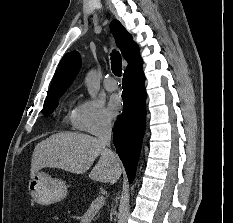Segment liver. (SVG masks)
I'll use <instances>...</instances> for the list:
<instances>
[{"instance_id":"liver-1","label":"liver","mask_w":233,"mask_h":223,"mask_svg":"<svg viewBox=\"0 0 233 223\" xmlns=\"http://www.w3.org/2000/svg\"><path fill=\"white\" fill-rule=\"evenodd\" d=\"M109 151L106 145L99 143L97 137L87 133H53L35 145L30 177L42 167H58L70 173H86L100 155L88 177L113 185L119 179L122 169L117 155L114 153L112 157Z\"/></svg>"}]
</instances>
